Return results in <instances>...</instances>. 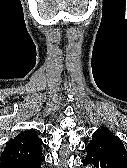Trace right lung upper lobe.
<instances>
[{
    "mask_svg": "<svg viewBox=\"0 0 127 168\" xmlns=\"http://www.w3.org/2000/svg\"><path fill=\"white\" fill-rule=\"evenodd\" d=\"M41 145L42 140L36 136L34 131H24L6 143L5 149L1 153L0 160L3 162L9 160L42 159Z\"/></svg>",
    "mask_w": 127,
    "mask_h": 168,
    "instance_id": "1",
    "label": "right lung upper lobe"
}]
</instances>
